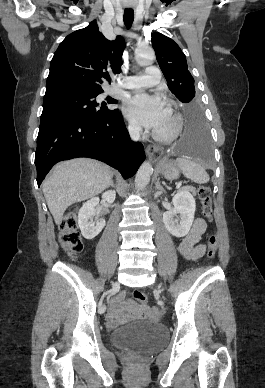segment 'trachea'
<instances>
[{
  "label": "trachea",
  "mask_w": 265,
  "mask_h": 388,
  "mask_svg": "<svg viewBox=\"0 0 265 388\" xmlns=\"http://www.w3.org/2000/svg\"><path fill=\"white\" fill-rule=\"evenodd\" d=\"M124 23L126 27H131L134 20V11L133 10H124Z\"/></svg>",
  "instance_id": "1"
}]
</instances>
